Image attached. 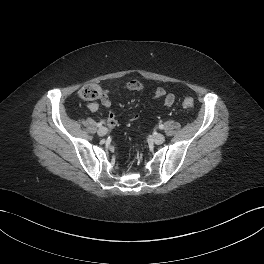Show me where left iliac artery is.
Listing matches in <instances>:
<instances>
[{"label": "left iliac artery", "mask_w": 264, "mask_h": 264, "mask_svg": "<svg viewBox=\"0 0 264 264\" xmlns=\"http://www.w3.org/2000/svg\"><path fill=\"white\" fill-rule=\"evenodd\" d=\"M159 128L160 129H163L164 128V125L163 124H159Z\"/></svg>", "instance_id": "44dca946"}]
</instances>
